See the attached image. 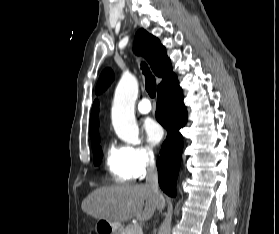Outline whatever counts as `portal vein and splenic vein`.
<instances>
[{
	"label": "portal vein and splenic vein",
	"mask_w": 279,
	"mask_h": 234,
	"mask_svg": "<svg viewBox=\"0 0 279 234\" xmlns=\"http://www.w3.org/2000/svg\"><path fill=\"white\" fill-rule=\"evenodd\" d=\"M134 231H139V232L142 234V228H141V226L136 225Z\"/></svg>",
	"instance_id": "1"
}]
</instances>
